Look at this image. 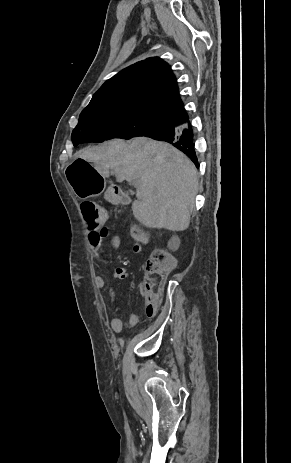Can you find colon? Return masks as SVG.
Here are the masks:
<instances>
[{
	"mask_svg": "<svg viewBox=\"0 0 291 463\" xmlns=\"http://www.w3.org/2000/svg\"><path fill=\"white\" fill-rule=\"evenodd\" d=\"M81 210L90 231L104 228L107 211L103 206L94 201H85ZM131 233L138 240H146V234L140 229L134 228ZM174 266V257L161 249L154 250L146 261L142 293L145 297V311L150 316L156 313L165 279Z\"/></svg>",
	"mask_w": 291,
	"mask_h": 463,
	"instance_id": "colon-1",
	"label": "colon"
}]
</instances>
